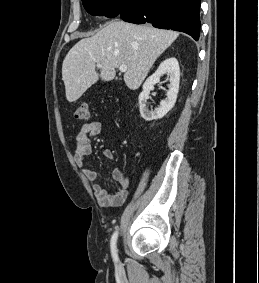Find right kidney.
<instances>
[{"mask_svg": "<svg viewBox=\"0 0 259 283\" xmlns=\"http://www.w3.org/2000/svg\"><path fill=\"white\" fill-rule=\"evenodd\" d=\"M168 73L170 76L169 90L167 98L160 102V106L154 110L147 108V100L150 91L156 83L160 81V77ZM180 68L176 58L171 57L164 60L153 75H151L143 85V91L139 95V109L141 117L146 121H152L163 118L174 106L179 91Z\"/></svg>", "mask_w": 259, "mask_h": 283, "instance_id": "right-kidney-1", "label": "right kidney"}]
</instances>
